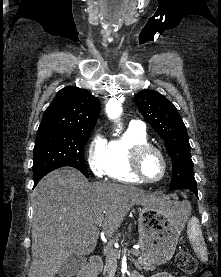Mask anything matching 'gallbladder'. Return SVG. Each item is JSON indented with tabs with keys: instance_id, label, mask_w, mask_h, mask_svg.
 <instances>
[{
	"instance_id": "bac80fb5",
	"label": "gallbladder",
	"mask_w": 221,
	"mask_h": 277,
	"mask_svg": "<svg viewBox=\"0 0 221 277\" xmlns=\"http://www.w3.org/2000/svg\"><path fill=\"white\" fill-rule=\"evenodd\" d=\"M86 262L85 256L72 254L61 264L57 273L58 277H73L80 272Z\"/></svg>"
}]
</instances>
